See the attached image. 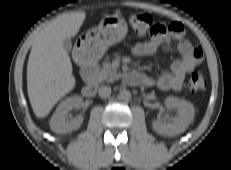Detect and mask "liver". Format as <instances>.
<instances>
[{
  "label": "liver",
  "instance_id": "obj_1",
  "mask_svg": "<svg viewBox=\"0 0 231 170\" xmlns=\"http://www.w3.org/2000/svg\"><path fill=\"white\" fill-rule=\"evenodd\" d=\"M85 17L82 11L62 14L33 38L27 65V91L38 118L46 117L54 105L76 85L71 59L63 47V40L77 35Z\"/></svg>",
  "mask_w": 231,
  "mask_h": 170
}]
</instances>
